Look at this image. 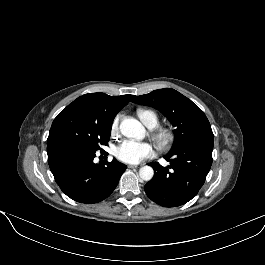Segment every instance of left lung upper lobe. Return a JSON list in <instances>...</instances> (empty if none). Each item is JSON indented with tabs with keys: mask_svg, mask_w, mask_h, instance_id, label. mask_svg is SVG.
Masks as SVG:
<instances>
[{
	"mask_svg": "<svg viewBox=\"0 0 265 265\" xmlns=\"http://www.w3.org/2000/svg\"><path fill=\"white\" fill-rule=\"evenodd\" d=\"M132 102L158 109L175 127V139L169 152H173L194 136L212 132L204 112L174 89H159L146 95L133 96Z\"/></svg>",
	"mask_w": 265,
	"mask_h": 265,
	"instance_id": "1",
	"label": "left lung upper lobe"
}]
</instances>
